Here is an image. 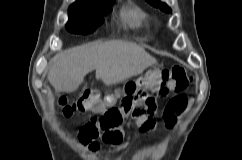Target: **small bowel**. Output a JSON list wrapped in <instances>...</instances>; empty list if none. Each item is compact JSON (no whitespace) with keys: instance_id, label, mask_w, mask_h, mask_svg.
I'll return each mask as SVG.
<instances>
[{"instance_id":"c3829d8e","label":"small bowel","mask_w":242,"mask_h":160,"mask_svg":"<svg viewBox=\"0 0 242 160\" xmlns=\"http://www.w3.org/2000/svg\"><path fill=\"white\" fill-rule=\"evenodd\" d=\"M119 108L122 109L121 105L119 106ZM164 117H165V115H164ZM176 118H177V115L174 114L172 116L171 120H168L165 117V121L169 126H173L176 123ZM137 124L139 125V127L141 128L142 131H149L154 127V125H147L146 118L137 119ZM124 136H125V132H124L123 128L121 126H119L116 129L103 134L102 141H103V143L108 144V145L118 146L123 142ZM90 147L93 150L96 149V145L94 143L91 144Z\"/></svg>"}]
</instances>
